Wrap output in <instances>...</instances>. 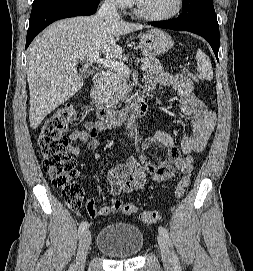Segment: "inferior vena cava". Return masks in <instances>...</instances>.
<instances>
[{
    "mask_svg": "<svg viewBox=\"0 0 253 271\" xmlns=\"http://www.w3.org/2000/svg\"><path fill=\"white\" fill-rule=\"evenodd\" d=\"M97 16L109 22L120 20L117 7L113 3V0H105V2L98 10Z\"/></svg>",
    "mask_w": 253,
    "mask_h": 271,
    "instance_id": "1",
    "label": "inferior vena cava"
}]
</instances>
